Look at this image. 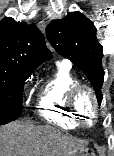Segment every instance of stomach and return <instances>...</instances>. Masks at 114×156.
Here are the masks:
<instances>
[{"label":"stomach","instance_id":"obj_1","mask_svg":"<svg viewBox=\"0 0 114 156\" xmlns=\"http://www.w3.org/2000/svg\"><path fill=\"white\" fill-rule=\"evenodd\" d=\"M70 156H95V154L91 147L86 144L84 145V147H82L80 150Z\"/></svg>","mask_w":114,"mask_h":156}]
</instances>
